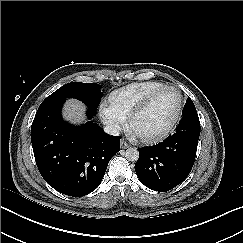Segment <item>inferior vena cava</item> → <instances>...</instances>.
<instances>
[{"label": "inferior vena cava", "instance_id": "1", "mask_svg": "<svg viewBox=\"0 0 243 243\" xmlns=\"http://www.w3.org/2000/svg\"><path fill=\"white\" fill-rule=\"evenodd\" d=\"M104 132L112 136H118L120 134V128L116 124H110L104 127Z\"/></svg>", "mask_w": 243, "mask_h": 243}]
</instances>
